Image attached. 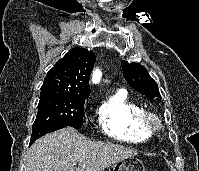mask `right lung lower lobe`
<instances>
[{
  "label": "right lung lower lobe",
  "instance_id": "obj_1",
  "mask_svg": "<svg viewBox=\"0 0 199 171\" xmlns=\"http://www.w3.org/2000/svg\"><path fill=\"white\" fill-rule=\"evenodd\" d=\"M66 127L65 125H60V124H55V125H46V126H41V127H38L37 129L33 130L32 131V135H31V140H30V145L31 146L36 139H38L39 137L47 134V133H50V132H53V131H56L58 129H61V128H64Z\"/></svg>",
  "mask_w": 199,
  "mask_h": 171
}]
</instances>
